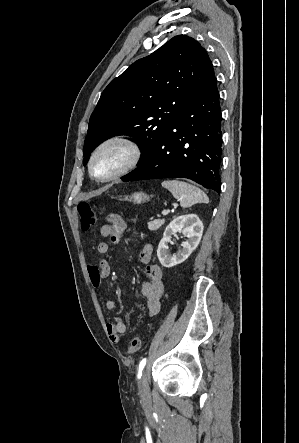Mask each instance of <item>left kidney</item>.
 I'll return each mask as SVG.
<instances>
[{
  "label": "left kidney",
  "instance_id": "5707ae66",
  "mask_svg": "<svg viewBox=\"0 0 299 443\" xmlns=\"http://www.w3.org/2000/svg\"><path fill=\"white\" fill-rule=\"evenodd\" d=\"M203 229V223L196 214L182 215L174 218L166 227L163 238L158 245L157 256L161 265L170 268L184 262L197 248ZM178 231H181L188 240L182 243L181 250L176 254L170 255L168 244L171 242V236Z\"/></svg>",
  "mask_w": 299,
  "mask_h": 443
}]
</instances>
